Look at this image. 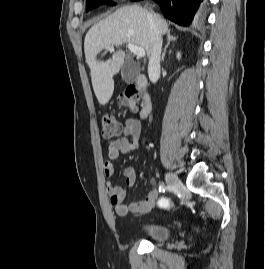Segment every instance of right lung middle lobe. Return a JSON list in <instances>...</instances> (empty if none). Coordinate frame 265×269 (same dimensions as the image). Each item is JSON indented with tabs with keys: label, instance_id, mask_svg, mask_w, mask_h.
<instances>
[{
	"label": "right lung middle lobe",
	"instance_id": "1",
	"mask_svg": "<svg viewBox=\"0 0 265 269\" xmlns=\"http://www.w3.org/2000/svg\"><path fill=\"white\" fill-rule=\"evenodd\" d=\"M108 3L109 5H115L114 2H109V0H86V11L96 8L98 5Z\"/></svg>",
	"mask_w": 265,
	"mask_h": 269
}]
</instances>
